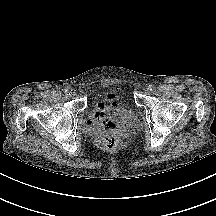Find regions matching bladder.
<instances>
[{"instance_id": "obj_1", "label": "bladder", "mask_w": 216, "mask_h": 216, "mask_svg": "<svg viewBox=\"0 0 216 216\" xmlns=\"http://www.w3.org/2000/svg\"><path fill=\"white\" fill-rule=\"evenodd\" d=\"M138 125V119L133 109H129L128 111L118 115L114 122V126L117 128H132Z\"/></svg>"}]
</instances>
